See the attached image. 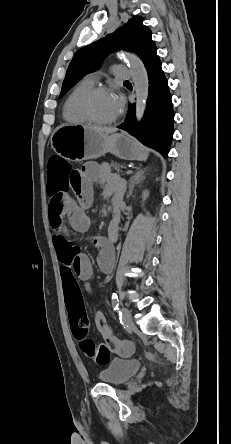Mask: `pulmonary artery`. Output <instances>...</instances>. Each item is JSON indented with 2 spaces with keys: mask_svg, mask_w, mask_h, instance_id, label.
<instances>
[{
  "mask_svg": "<svg viewBox=\"0 0 231 444\" xmlns=\"http://www.w3.org/2000/svg\"><path fill=\"white\" fill-rule=\"evenodd\" d=\"M132 72L129 68L124 66H116L114 68V76L118 80H128L131 78ZM89 81L94 83L97 80L96 74H89L87 78Z\"/></svg>",
  "mask_w": 231,
  "mask_h": 444,
  "instance_id": "e3ab8cb5",
  "label": "pulmonary artery"
}]
</instances>
